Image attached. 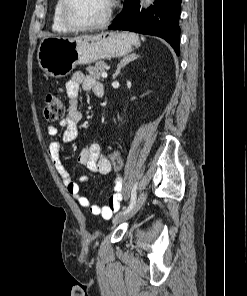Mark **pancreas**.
<instances>
[{"label": "pancreas", "instance_id": "1", "mask_svg": "<svg viewBox=\"0 0 247 296\" xmlns=\"http://www.w3.org/2000/svg\"><path fill=\"white\" fill-rule=\"evenodd\" d=\"M107 63L104 61L97 62L94 66H89L86 68L89 75L95 79H100L101 74L106 70Z\"/></svg>", "mask_w": 247, "mask_h": 296}]
</instances>
